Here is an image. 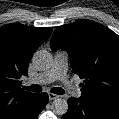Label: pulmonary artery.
I'll list each match as a JSON object with an SVG mask.
<instances>
[{
    "instance_id": "pulmonary-artery-1",
    "label": "pulmonary artery",
    "mask_w": 119,
    "mask_h": 119,
    "mask_svg": "<svg viewBox=\"0 0 119 119\" xmlns=\"http://www.w3.org/2000/svg\"><path fill=\"white\" fill-rule=\"evenodd\" d=\"M67 69L68 54L65 51H58L55 53L52 67L49 70L39 73L33 78H30L27 83L47 84L55 80H60L74 96H80V90L75 88L68 81Z\"/></svg>"
}]
</instances>
